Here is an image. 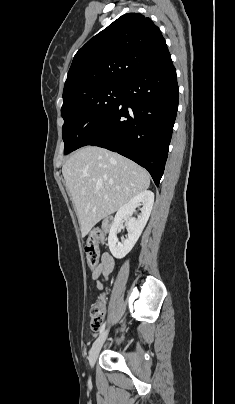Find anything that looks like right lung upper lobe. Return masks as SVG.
I'll return each mask as SVG.
<instances>
[{
    "instance_id": "cb5924a9",
    "label": "right lung upper lobe",
    "mask_w": 235,
    "mask_h": 404,
    "mask_svg": "<svg viewBox=\"0 0 235 404\" xmlns=\"http://www.w3.org/2000/svg\"><path fill=\"white\" fill-rule=\"evenodd\" d=\"M170 56L160 29L139 13H127L90 39L74 56L63 101L91 90L124 84ZM63 103V104H64Z\"/></svg>"
}]
</instances>
